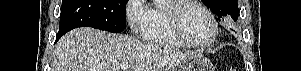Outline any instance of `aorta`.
I'll use <instances>...</instances> for the list:
<instances>
[{"label":"aorta","instance_id":"aorta-1","mask_svg":"<svg viewBox=\"0 0 301 71\" xmlns=\"http://www.w3.org/2000/svg\"><path fill=\"white\" fill-rule=\"evenodd\" d=\"M154 2H155L156 4H162V3L164 2V0H154Z\"/></svg>","mask_w":301,"mask_h":71}]
</instances>
